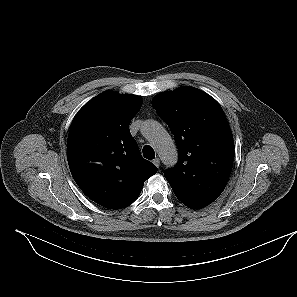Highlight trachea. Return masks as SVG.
<instances>
[{
    "mask_svg": "<svg viewBox=\"0 0 297 297\" xmlns=\"http://www.w3.org/2000/svg\"><path fill=\"white\" fill-rule=\"evenodd\" d=\"M143 156L146 158V159H149V160H152L155 158V152H154V149L149 146V145H145L143 147Z\"/></svg>",
    "mask_w": 297,
    "mask_h": 297,
    "instance_id": "trachea-1",
    "label": "trachea"
}]
</instances>
